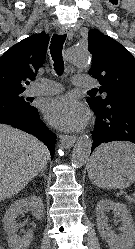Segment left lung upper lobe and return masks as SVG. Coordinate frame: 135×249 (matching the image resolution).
<instances>
[{
    "label": "left lung upper lobe",
    "mask_w": 135,
    "mask_h": 249,
    "mask_svg": "<svg viewBox=\"0 0 135 249\" xmlns=\"http://www.w3.org/2000/svg\"><path fill=\"white\" fill-rule=\"evenodd\" d=\"M89 52L92 66L89 75L98 79L100 93L91 95L87 102L97 107H106L111 101L135 102V58L120 43L97 29L89 31Z\"/></svg>",
    "instance_id": "1"
}]
</instances>
